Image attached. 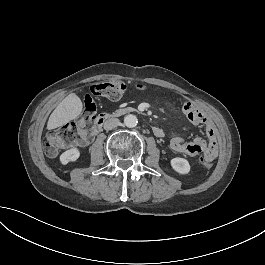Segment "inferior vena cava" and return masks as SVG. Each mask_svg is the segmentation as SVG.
Wrapping results in <instances>:
<instances>
[{
	"label": "inferior vena cava",
	"instance_id": "obj_1",
	"mask_svg": "<svg viewBox=\"0 0 265 265\" xmlns=\"http://www.w3.org/2000/svg\"><path fill=\"white\" fill-rule=\"evenodd\" d=\"M119 119L117 118H108L107 120H105L104 122V129L105 130H111L115 127H117L119 125Z\"/></svg>",
	"mask_w": 265,
	"mask_h": 265
}]
</instances>
